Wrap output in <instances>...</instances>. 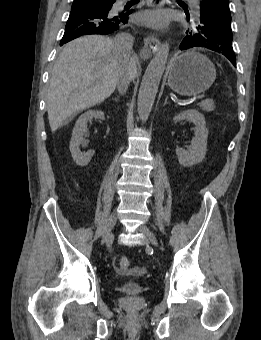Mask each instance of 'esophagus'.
Returning <instances> with one entry per match:
<instances>
[{
	"instance_id": "34e87169",
	"label": "esophagus",
	"mask_w": 261,
	"mask_h": 340,
	"mask_svg": "<svg viewBox=\"0 0 261 340\" xmlns=\"http://www.w3.org/2000/svg\"><path fill=\"white\" fill-rule=\"evenodd\" d=\"M166 0H151L152 6L161 8L165 5ZM161 46L160 40L153 34H150L144 38L143 53L147 51L156 53Z\"/></svg>"
}]
</instances>
